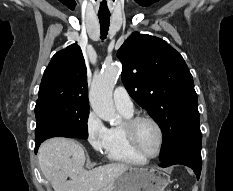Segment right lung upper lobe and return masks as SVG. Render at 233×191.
<instances>
[{"mask_svg":"<svg viewBox=\"0 0 233 191\" xmlns=\"http://www.w3.org/2000/svg\"><path fill=\"white\" fill-rule=\"evenodd\" d=\"M86 65L77 44L57 52L45 69L37 102L55 101L89 108Z\"/></svg>","mask_w":233,"mask_h":191,"instance_id":"cb5924a9","label":"right lung upper lobe"}]
</instances>
